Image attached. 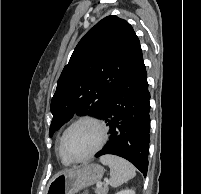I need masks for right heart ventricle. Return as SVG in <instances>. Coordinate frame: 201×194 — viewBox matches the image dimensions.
<instances>
[{
	"mask_svg": "<svg viewBox=\"0 0 201 194\" xmlns=\"http://www.w3.org/2000/svg\"><path fill=\"white\" fill-rule=\"evenodd\" d=\"M58 151H59V150H58ZM59 156H60L61 161H62L63 164H65V165L71 164L70 162L66 161V160L60 155V153H59Z\"/></svg>",
	"mask_w": 201,
	"mask_h": 194,
	"instance_id": "right-heart-ventricle-1",
	"label": "right heart ventricle"
}]
</instances>
